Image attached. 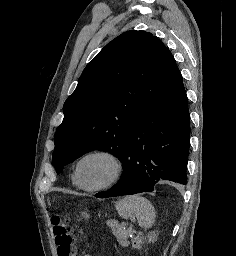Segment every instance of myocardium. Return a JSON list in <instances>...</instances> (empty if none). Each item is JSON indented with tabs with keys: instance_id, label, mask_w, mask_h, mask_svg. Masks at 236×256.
I'll return each mask as SVG.
<instances>
[{
	"instance_id": "f54148a6",
	"label": "myocardium",
	"mask_w": 236,
	"mask_h": 256,
	"mask_svg": "<svg viewBox=\"0 0 236 256\" xmlns=\"http://www.w3.org/2000/svg\"><path fill=\"white\" fill-rule=\"evenodd\" d=\"M95 155H103V156H106L109 159H111V161L114 163V166H115V172H114V175L107 182H105L101 185L95 186V187H88V186L84 185V183L81 179V165L85 159H87L90 156H95ZM123 173H124V163H123L122 158L114 150L107 149V148L94 149L89 152H86L78 159V161L76 163V167H75V176H76L78 185L82 189H84L88 192H97V191H101V190H104V189H107V188L113 186L120 180Z\"/></svg>"
}]
</instances>
